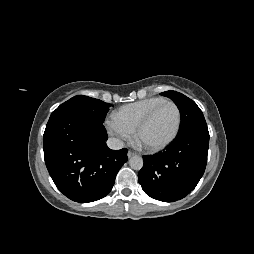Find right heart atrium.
I'll use <instances>...</instances> for the list:
<instances>
[{"instance_id":"right-heart-atrium-1","label":"right heart atrium","mask_w":254,"mask_h":254,"mask_svg":"<svg viewBox=\"0 0 254 254\" xmlns=\"http://www.w3.org/2000/svg\"><path fill=\"white\" fill-rule=\"evenodd\" d=\"M105 129L118 143L128 142L133 139V130L123 125L114 116L106 119Z\"/></svg>"}]
</instances>
